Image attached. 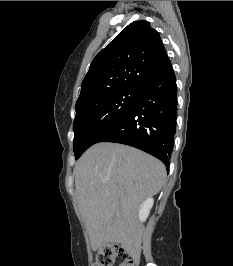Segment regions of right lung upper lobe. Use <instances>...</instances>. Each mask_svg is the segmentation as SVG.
<instances>
[{"label": "right lung upper lobe", "instance_id": "1", "mask_svg": "<svg viewBox=\"0 0 233 266\" xmlns=\"http://www.w3.org/2000/svg\"><path fill=\"white\" fill-rule=\"evenodd\" d=\"M170 67L159 33L147 21H134L93 59L77 103L112 90H141Z\"/></svg>", "mask_w": 233, "mask_h": 266}]
</instances>
